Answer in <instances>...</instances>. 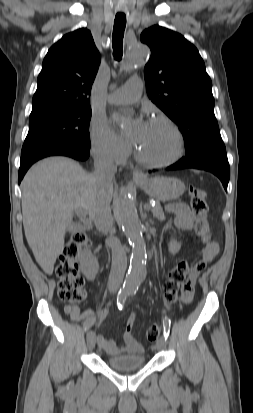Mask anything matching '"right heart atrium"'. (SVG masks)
<instances>
[{"label": "right heart atrium", "mask_w": 253, "mask_h": 413, "mask_svg": "<svg viewBox=\"0 0 253 413\" xmlns=\"http://www.w3.org/2000/svg\"><path fill=\"white\" fill-rule=\"evenodd\" d=\"M90 141L92 154L103 162H122L129 153L128 145L101 118L92 119Z\"/></svg>", "instance_id": "d8ad5b80"}]
</instances>
